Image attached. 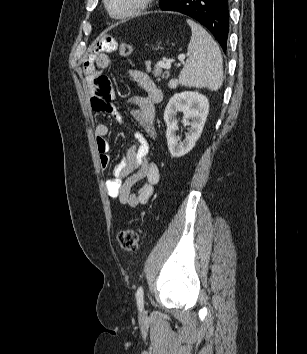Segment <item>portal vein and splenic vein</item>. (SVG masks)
Wrapping results in <instances>:
<instances>
[{
    "mask_svg": "<svg viewBox=\"0 0 307 354\" xmlns=\"http://www.w3.org/2000/svg\"><path fill=\"white\" fill-rule=\"evenodd\" d=\"M179 61L180 62H183L184 59H185V56L184 55H181L178 57ZM174 60L173 59H167L165 62H161L160 65L165 68V69H170L171 68V63L173 62Z\"/></svg>",
    "mask_w": 307,
    "mask_h": 354,
    "instance_id": "obj_1",
    "label": "portal vein and splenic vein"
}]
</instances>
